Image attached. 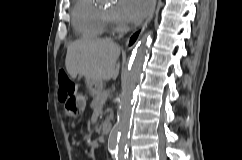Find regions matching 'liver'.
I'll list each match as a JSON object with an SVG mask.
<instances>
[{"mask_svg":"<svg viewBox=\"0 0 242 160\" xmlns=\"http://www.w3.org/2000/svg\"><path fill=\"white\" fill-rule=\"evenodd\" d=\"M120 51L119 45L112 41L78 39L67 48L65 66L73 79L81 75L86 80H115L119 74Z\"/></svg>","mask_w":242,"mask_h":160,"instance_id":"liver-1","label":"liver"}]
</instances>
